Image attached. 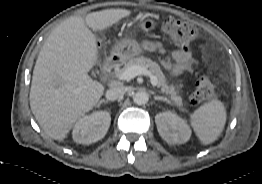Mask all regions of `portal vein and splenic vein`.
<instances>
[{
	"label": "portal vein and splenic vein",
	"instance_id": "18ae733b",
	"mask_svg": "<svg viewBox=\"0 0 262 184\" xmlns=\"http://www.w3.org/2000/svg\"><path fill=\"white\" fill-rule=\"evenodd\" d=\"M138 75H149L151 84L156 86L158 84L157 78L152 75L145 67L140 65H133L127 68L124 72L117 76L118 80L129 81Z\"/></svg>",
	"mask_w": 262,
	"mask_h": 184
}]
</instances>
